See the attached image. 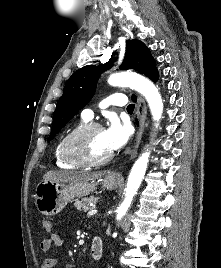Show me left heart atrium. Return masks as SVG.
I'll return each mask as SVG.
<instances>
[{
	"label": "left heart atrium",
	"instance_id": "39dd6f15",
	"mask_svg": "<svg viewBox=\"0 0 221 268\" xmlns=\"http://www.w3.org/2000/svg\"><path fill=\"white\" fill-rule=\"evenodd\" d=\"M106 144L111 152L120 149L129 138V127L117 119H112L104 130Z\"/></svg>",
	"mask_w": 221,
	"mask_h": 268
}]
</instances>
